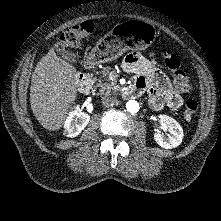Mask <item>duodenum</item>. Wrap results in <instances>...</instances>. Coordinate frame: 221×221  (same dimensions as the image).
<instances>
[{"mask_svg":"<svg viewBox=\"0 0 221 221\" xmlns=\"http://www.w3.org/2000/svg\"><path fill=\"white\" fill-rule=\"evenodd\" d=\"M75 81H76V85H77L78 89L81 92H84V93L89 92V90L91 88V80L89 79V77L87 76L86 73H81L80 72V73L76 74ZM126 94L128 96H131V97H138V96H140L136 86H134V85H131L126 90Z\"/></svg>","mask_w":221,"mask_h":221,"instance_id":"1","label":"duodenum"}]
</instances>
